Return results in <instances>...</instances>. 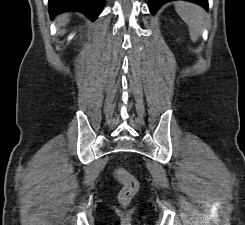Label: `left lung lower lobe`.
<instances>
[{"label": "left lung lower lobe", "instance_id": "1", "mask_svg": "<svg viewBox=\"0 0 245 225\" xmlns=\"http://www.w3.org/2000/svg\"><path fill=\"white\" fill-rule=\"evenodd\" d=\"M171 0H149V9L152 14H154L164 3L169 2ZM191 1L199 4L203 8H208V0H185Z\"/></svg>", "mask_w": 245, "mask_h": 225}]
</instances>
